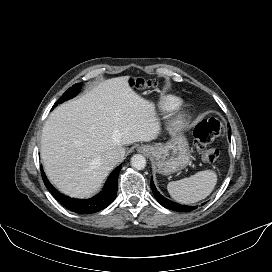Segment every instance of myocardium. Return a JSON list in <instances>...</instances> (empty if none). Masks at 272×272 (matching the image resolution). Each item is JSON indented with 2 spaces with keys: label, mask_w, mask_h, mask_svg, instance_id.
<instances>
[{
  "label": "myocardium",
  "mask_w": 272,
  "mask_h": 272,
  "mask_svg": "<svg viewBox=\"0 0 272 272\" xmlns=\"http://www.w3.org/2000/svg\"><path fill=\"white\" fill-rule=\"evenodd\" d=\"M189 115L190 113L186 109L178 110L172 121L173 126L182 127L186 123L187 119L189 118Z\"/></svg>",
  "instance_id": "obj_1"
}]
</instances>
